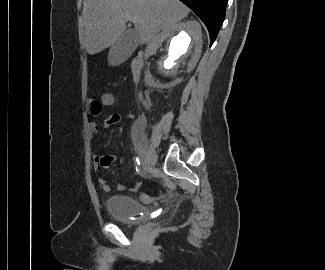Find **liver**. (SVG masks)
Instances as JSON below:
<instances>
[{
  "label": "liver",
  "mask_w": 325,
  "mask_h": 270,
  "mask_svg": "<svg viewBox=\"0 0 325 270\" xmlns=\"http://www.w3.org/2000/svg\"><path fill=\"white\" fill-rule=\"evenodd\" d=\"M188 7L179 0H87L85 48L93 55L112 46L125 32L127 17H136L135 31L146 54L154 52L157 34L184 19Z\"/></svg>",
  "instance_id": "obj_1"
}]
</instances>
